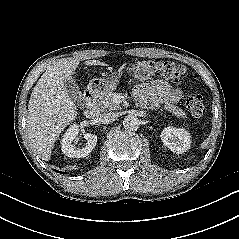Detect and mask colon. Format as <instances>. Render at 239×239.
<instances>
[{
	"label": "colon",
	"mask_w": 239,
	"mask_h": 239,
	"mask_svg": "<svg viewBox=\"0 0 239 239\" xmlns=\"http://www.w3.org/2000/svg\"><path fill=\"white\" fill-rule=\"evenodd\" d=\"M129 75L137 81H146L155 76L164 77L175 83H184L188 79V73L184 66L173 62L150 60H140L131 64ZM185 105L195 117H201L205 113L203 97L198 93L187 95Z\"/></svg>",
	"instance_id": "colon-1"
}]
</instances>
